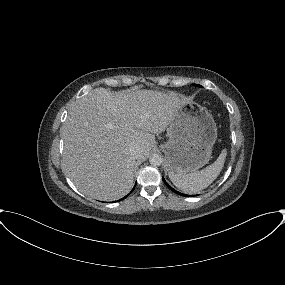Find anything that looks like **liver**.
<instances>
[{
    "instance_id": "obj_1",
    "label": "liver",
    "mask_w": 285,
    "mask_h": 285,
    "mask_svg": "<svg viewBox=\"0 0 285 285\" xmlns=\"http://www.w3.org/2000/svg\"><path fill=\"white\" fill-rule=\"evenodd\" d=\"M186 100L174 92L96 88L76 100L63 126L62 168L83 194L103 201L130 192L138 145L145 158Z\"/></svg>"
}]
</instances>
